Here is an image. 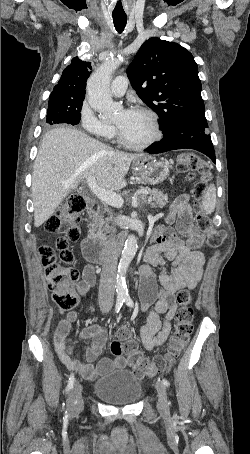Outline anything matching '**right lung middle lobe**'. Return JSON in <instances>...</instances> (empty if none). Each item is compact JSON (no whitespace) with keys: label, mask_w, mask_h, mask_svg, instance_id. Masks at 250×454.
Returning a JSON list of instances; mask_svg holds the SVG:
<instances>
[{"label":"right lung middle lobe","mask_w":250,"mask_h":454,"mask_svg":"<svg viewBox=\"0 0 250 454\" xmlns=\"http://www.w3.org/2000/svg\"><path fill=\"white\" fill-rule=\"evenodd\" d=\"M83 100L84 98L77 100L49 98L46 122L50 125L56 123L78 124Z\"/></svg>","instance_id":"right-lung-middle-lobe-1"}]
</instances>
